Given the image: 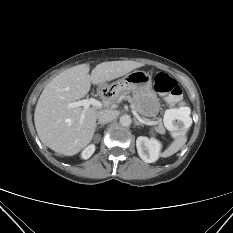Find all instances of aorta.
Wrapping results in <instances>:
<instances>
[{
	"mask_svg": "<svg viewBox=\"0 0 233 233\" xmlns=\"http://www.w3.org/2000/svg\"><path fill=\"white\" fill-rule=\"evenodd\" d=\"M119 123L121 124V126L123 127H127L130 126L131 124V117L127 114L122 115L119 119Z\"/></svg>",
	"mask_w": 233,
	"mask_h": 233,
	"instance_id": "1",
	"label": "aorta"
}]
</instances>
